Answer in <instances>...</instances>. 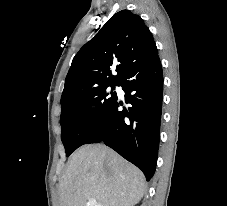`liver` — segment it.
I'll list each match as a JSON object with an SVG mask.
<instances>
[{
    "label": "liver",
    "instance_id": "liver-1",
    "mask_svg": "<svg viewBox=\"0 0 227 206\" xmlns=\"http://www.w3.org/2000/svg\"><path fill=\"white\" fill-rule=\"evenodd\" d=\"M146 189L143 173L102 144L84 145L70 157L59 181V206H134Z\"/></svg>",
    "mask_w": 227,
    "mask_h": 206
}]
</instances>
